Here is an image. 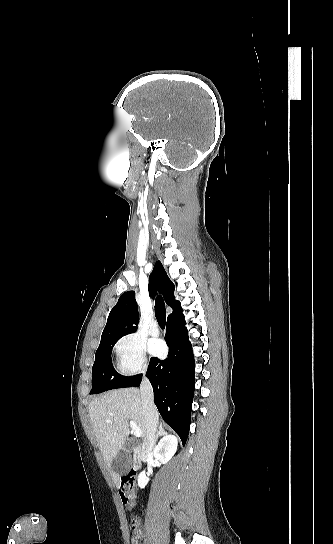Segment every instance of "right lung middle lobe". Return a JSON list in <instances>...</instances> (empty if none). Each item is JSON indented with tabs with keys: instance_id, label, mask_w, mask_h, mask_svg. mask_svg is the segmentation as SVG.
Returning <instances> with one entry per match:
<instances>
[{
	"instance_id": "1",
	"label": "right lung middle lobe",
	"mask_w": 333,
	"mask_h": 544,
	"mask_svg": "<svg viewBox=\"0 0 333 544\" xmlns=\"http://www.w3.org/2000/svg\"><path fill=\"white\" fill-rule=\"evenodd\" d=\"M122 336L101 339L95 354L92 367V390L90 394H98L107 390L129 387L142 375L125 377L118 374L112 366L111 351Z\"/></svg>"
}]
</instances>
